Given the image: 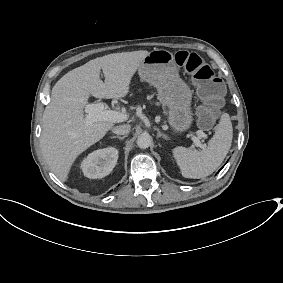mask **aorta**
<instances>
[{"label":"aorta","mask_w":283,"mask_h":283,"mask_svg":"<svg viewBox=\"0 0 283 283\" xmlns=\"http://www.w3.org/2000/svg\"><path fill=\"white\" fill-rule=\"evenodd\" d=\"M151 142H152V138L148 133H143L139 135L136 141L138 147L141 149L148 148L151 145Z\"/></svg>","instance_id":"762f6f07"}]
</instances>
